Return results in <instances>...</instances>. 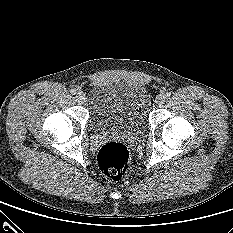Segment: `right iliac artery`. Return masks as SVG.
<instances>
[{"mask_svg": "<svg viewBox=\"0 0 233 233\" xmlns=\"http://www.w3.org/2000/svg\"><path fill=\"white\" fill-rule=\"evenodd\" d=\"M72 94H76L77 93V90L76 89H71V91H70Z\"/></svg>", "mask_w": 233, "mask_h": 233, "instance_id": "1", "label": "right iliac artery"}]
</instances>
